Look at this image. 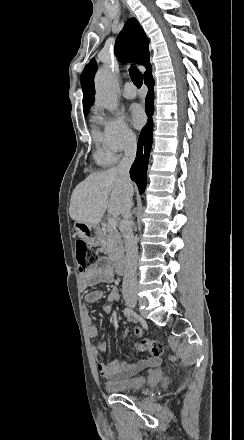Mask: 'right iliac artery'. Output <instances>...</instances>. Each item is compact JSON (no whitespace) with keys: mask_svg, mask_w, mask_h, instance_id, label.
Masks as SVG:
<instances>
[{"mask_svg":"<svg viewBox=\"0 0 244 440\" xmlns=\"http://www.w3.org/2000/svg\"><path fill=\"white\" fill-rule=\"evenodd\" d=\"M132 313H133V311H132V309H131L130 307H126V308L124 309V315H125V316L129 317V316L132 315Z\"/></svg>","mask_w":244,"mask_h":440,"instance_id":"obj_1","label":"right iliac artery"}]
</instances>
